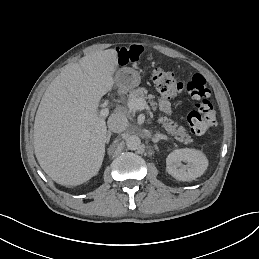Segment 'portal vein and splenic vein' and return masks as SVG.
<instances>
[{
	"instance_id": "portal-vein-and-splenic-vein-1",
	"label": "portal vein and splenic vein",
	"mask_w": 259,
	"mask_h": 259,
	"mask_svg": "<svg viewBox=\"0 0 259 259\" xmlns=\"http://www.w3.org/2000/svg\"><path fill=\"white\" fill-rule=\"evenodd\" d=\"M126 107L132 111H136V110H143L147 107L146 101L145 99L142 98H134V99H129L126 103H125ZM100 115L102 117H107L109 115V108L108 107H104L101 110Z\"/></svg>"
}]
</instances>
